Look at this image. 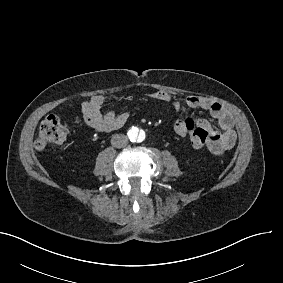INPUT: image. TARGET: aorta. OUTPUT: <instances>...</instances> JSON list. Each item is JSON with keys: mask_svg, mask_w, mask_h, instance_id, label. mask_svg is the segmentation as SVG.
Segmentation results:
<instances>
[{"mask_svg": "<svg viewBox=\"0 0 283 283\" xmlns=\"http://www.w3.org/2000/svg\"><path fill=\"white\" fill-rule=\"evenodd\" d=\"M128 137L130 139L131 142L134 143H141L144 141L146 134L144 132V130L138 128V127H132L129 131H128Z\"/></svg>", "mask_w": 283, "mask_h": 283, "instance_id": "762f6f07", "label": "aorta"}]
</instances>
